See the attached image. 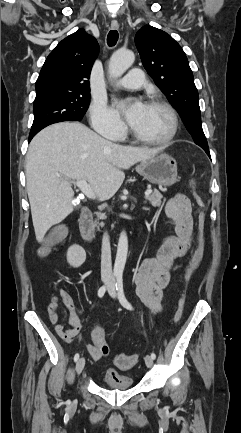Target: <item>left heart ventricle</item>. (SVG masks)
I'll list each match as a JSON object with an SVG mask.
<instances>
[{
	"mask_svg": "<svg viewBox=\"0 0 241 433\" xmlns=\"http://www.w3.org/2000/svg\"><path fill=\"white\" fill-rule=\"evenodd\" d=\"M132 128L145 138L161 139L171 131L172 119L166 109L146 105L138 122Z\"/></svg>",
	"mask_w": 241,
	"mask_h": 433,
	"instance_id": "left-heart-ventricle-1",
	"label": "left heart ventricle"
}]
</instances>
